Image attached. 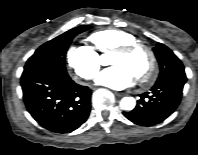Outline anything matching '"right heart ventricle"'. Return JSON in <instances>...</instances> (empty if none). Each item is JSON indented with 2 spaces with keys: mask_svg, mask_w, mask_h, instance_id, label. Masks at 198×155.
Returning <instances> with one entry per match:
<instances>
[{
  "mask_svg": "<svg viewBox=\"0 0 198 155\" xmlns=\"http://www.w3.org/2000/svg\"><path fill=\"white\" fill-rule=\"evenodd\" d=\"M90 40L98 51L104 53L114 50L120 45L136 41V38L124 30L107 28L94 32L90 36Z\"/></svg>",
  "mask_w": 198,
  "mask_h": 155,
  "instance_id": "right-heart-ventricle-1",
  "label": "right heart ventricle"
}]
</instances>
